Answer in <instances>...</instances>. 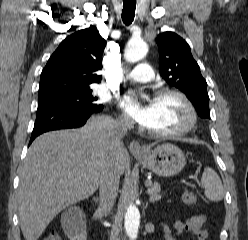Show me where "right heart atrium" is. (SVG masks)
Listing matches in <instances>:
<instances>
[{"instance_id": "1", "label": "right heart atrium", "mask_w": 248, "mask_h": 240, "mask_svg": "<svg viewBox=\"0 0 248 240\" xmlns=\"http://www.w3.org/2000/svg\"><path fill=\"white\" fill-rule=\"evenodd\" d=\"M120 121L123 125H130V120L126 116H121Z\"/></svg>"}]
</instances>
